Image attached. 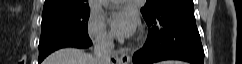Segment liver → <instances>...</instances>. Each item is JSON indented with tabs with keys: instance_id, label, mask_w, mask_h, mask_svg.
Returning <instances> with one entry per match:
<instances>
[{
	"instance_id": "1",
	"label": "liver",
	"mask_w": 242,
	"mask_h": 64,
	"mask_svg": "<svg viewBox=\"0 0 242 64\" xmlns=\"http://www.w3.org/2000/svg\"><path fill=\"white\" fill-rule=\"evenodd\" d=\"M42 64H97L95 57L81 50L67 48L49 55Z\"/></svg>"
}]
</instances>
